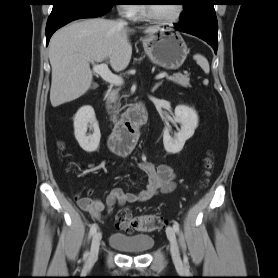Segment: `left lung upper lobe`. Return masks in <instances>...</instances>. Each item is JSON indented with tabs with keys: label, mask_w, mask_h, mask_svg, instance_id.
Wrapping results in <instances>:
<instances>
[{
	"label": "left lung upper lobe",
	"mask_w": 278,
	"mask_h": 278,
	"mask_svg": "<svg viewBox=\"0 0 278 278\" xmlns=\"http://www.w3.org/2000/svg\"><path fill=\"white\" fill-rule=\"evenodd\" d=\"M182 2L184 6V11L180 16L182 21L189 20L198 14H205L211 20L217 22L214 10L215 0H182Z\"/></svg>",
	"instance_id": "1"
}]
</instances>
